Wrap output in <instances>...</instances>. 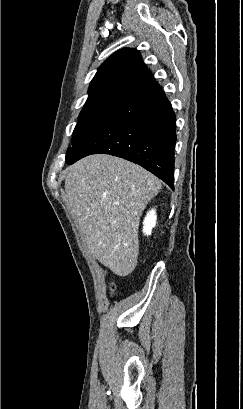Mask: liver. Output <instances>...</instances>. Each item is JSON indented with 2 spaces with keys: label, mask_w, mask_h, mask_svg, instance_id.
<instances>
[{
  "label": "liver",
  "mask_w": 243,
  "mask_h": 409,
  "mask_svg": "<svg viewBox=\"0 0 243 409\" xmlns=\"http://www.w3.org/2000/svg\"><path fill=\"white\" fill-rule=\"evenodd\" d=\"M67 205L91 254L118 276L136 267L140 217L161 188L150 172L111 155H90L65 170Z\"/></svg>",
  "instance_id": "liver-1"
}]
</instances>
